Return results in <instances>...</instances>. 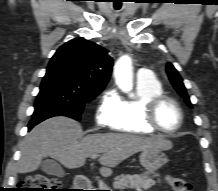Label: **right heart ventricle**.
Listing matches in <instances>:
<instances>
[{
    "label": "right heart ventricle",
    "mask_w": 218,
    "mask_h": 191,
    "mask_svg": "<svg viewBox=\"0 0 218 191\" xmlns=\"http://www.w3.org/2000/svg\"><path fill=\"white\" fill-rule=\"evenodd\" d=\"M159 94H163V88L158 80L137 81L136 96L131 99H121L111 128L126 134H153L155 131L144 120V105L149 98Z\"/></svg>",
    "instance_id": "right-heart-ventricle-1"
}]
</instances>
